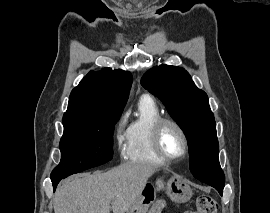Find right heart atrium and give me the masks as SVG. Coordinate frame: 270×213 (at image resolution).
I'll return each mask as SVG.
<instances>
[{
	"label": "right heart atrium",
	"mask_w": 270,
	"mask_h": 213,
	"mask_svg": "<svg viewBox=\"0 0 270 213\" xmlns=\"http://www.w3.org/2000/svg\"><path fill=\"white\" fill-rule=\"evenodd\" d=\"M125 118L121 117L114 129V141L119 150L123 149L125 143V130H124Z\"/></svg>",
	"instance_id": "right-heart-atrium-1"
}]
</instances>
